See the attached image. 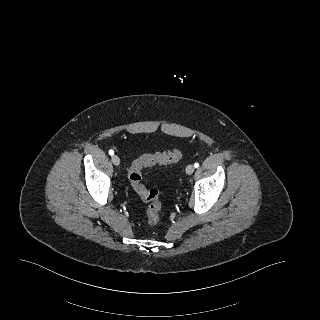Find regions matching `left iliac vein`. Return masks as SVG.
I'll return each instance as SVG.
<instances>
[{
	"mask_svg": "<svg viewBox=\"0 0 320 320\" xmlns=\"http://www.w3.org/2000/svg\"><path fill=\"white\" fill-rule=\"evenodd\" d=\"M194 170H195V167H194V165H192V164H190V165H188V166L186 167V173H187L188 175H191V174L194 172Z\"/></svg>",
	"mask_w": 320,
	"mask_h": 320,
	"instance_id": "4c4485c4",
	"label": "left iliac vein"
}]
</instances>
